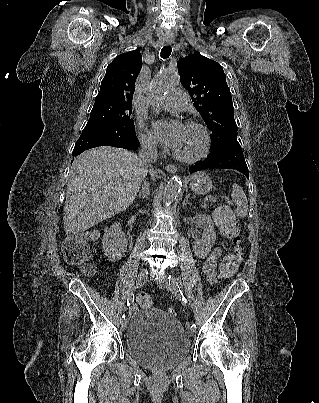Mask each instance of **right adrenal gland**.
Listing matches in <instances>:
<instances>
[{
  "label": "right adrenal gland",
  "mask_w": 319,
  "mask_h": 403,
  "mask_svg": "<svg viewBox=\"0 0 319 403\" xmlns=\"http://www.w3.org/2000/svg\"><path fill=\"white\" fill-rule=\"evenodd\" d=\"M149 195V184L146 182L143 183L142 190L138 193V196L141 198H145Z\"/></svg>",
  "instance_id": "1"
}]
</instances>
